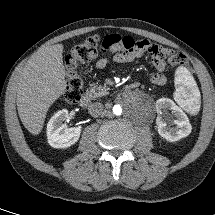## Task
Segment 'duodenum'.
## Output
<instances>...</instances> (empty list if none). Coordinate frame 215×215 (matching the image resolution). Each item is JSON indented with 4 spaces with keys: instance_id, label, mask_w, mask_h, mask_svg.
Masks as SVG:
<instances>
[{
    "instance_id": "duodenum-1",
    "label": "duodenum",
    "mask_w": 215,
    "mask_h": 215,
    "mask_svg": "<svg viewBox=\"0 0 215 215\" xmlns=\"http://www.w3.org/2000/svg\"><path fill=\"white\" fill-rule=\"evenodd\" d=\"M137 87L136 83H132L129 86L126 87L125 91L128 92L134 88ZM92 102V97L90 94H84L80 100H79V105L83 108H86L90 105V103Z\"/></svg>"
}]
</instances>
